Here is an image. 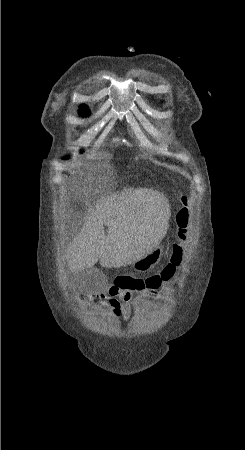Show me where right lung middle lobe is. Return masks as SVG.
<instances>
[{
  "instance_id": "1",
  "label": "right lung middle lobe",
  "mask_w": 245,
  "mask_h": 450,
  "mask_svg": "<svg viewBox=\"0 0 245 450\" xmlns=\"http://www.w3.org/2000/svg\"><path fill=\"white\" fill-rule=\"evenodd\" d=\"M89 113H90L89 110H86V111L82 112L81 115L86 116ZM64 159H66V158H64Z\"/></svg>"
}]
</instances>
